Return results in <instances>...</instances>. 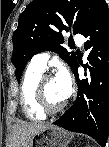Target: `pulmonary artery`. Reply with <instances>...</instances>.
Wrapping results in <instances>:
<instances>
[{
	"mask_svg": "<svg viewBox=\"0 0 109 147\" xmlns=\"http://www.w3.org/2000/svg\"><path fill=\"white\" fill-rule=\"evenodd\" d=\"M75 40L78 46H82L84 43V38L81 34H77L75 36ZM49 58H50L49 52L38 53L31 58L29 66L34 69L44 71L45 68L47 67V62Z\"/></svg>",
	"mask_w": 109,
	"mask_h": 147,
	"instance_id": "obj_1",
	"label": "pulmonary artery"
}]
</instances>
